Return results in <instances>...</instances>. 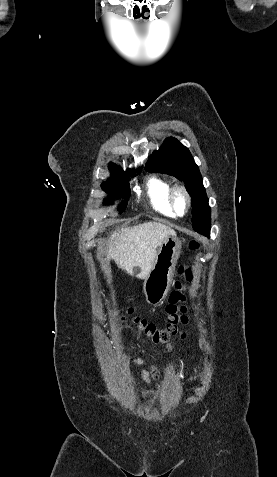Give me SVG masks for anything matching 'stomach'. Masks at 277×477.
<instances>
[{"instance_id": "1", "label": "stomach", "mask_w": 277, "mask_h": 477, "mask_svg": "<svg viewBox=\"0 0 277 477\" xmlns=\"http://www.w3.org/2000/svg\"><path fill=\"white\" fill-rule=\"evenodd\" d=\"M181 247L182 243L176 235L168 236L159 247L153 268L143 283L148 304L159 305L167 296Z\"/></svg>"}]
</instances>
